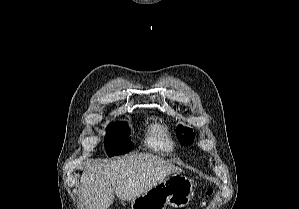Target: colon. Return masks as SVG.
<instances>
[{
    "label": "colon",
    "mask_w": 299,
    "mask_h": 209,
    "mask_svg": "<svg viewBox=\"0 0 299 209\" xmlns=\"http://www.w3.org/2000/svg\"><path fill=\"white\" fill-rule=\"evenodd\" d=\"M211 194H212V190L211 189L206 190V192H205L206 196H210Z\"/></svg>",
    "instance_id": "1"
}]
</instances>
